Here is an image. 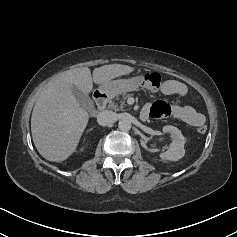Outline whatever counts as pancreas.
I'll use <instances>...</instances> for the list:
<instances>
[{"instance_id": "obj_1", "label": "pancreas", "mask_w": 237, "mask_h": 237, "mask_svg": "<svg viewBox=\"0 0 237 237\" xmlns=\"http://www.w3.org/2000/svg\"><path fill=\"white\" fill-rule=\"evenodd\" d=\"M130 96H131L130 94L123 96V99L120 100L119 103H115L113 101H110L109 104H108V108L111 109V110H115V111L123 110V108L126 106V101L125 100ZM117 100H118V98H117Z\"/></svg>"}]
</instances>
